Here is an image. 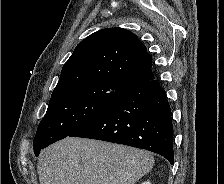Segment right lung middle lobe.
<instances>
[{
	"instance_id": "obj_1",
	"label": "right lung middle lobe",
	"mask_w": 224,
	"mask_h": 184,
	"mask_svg": "<svg viewBox=\"0 0 224 184\" xmlns=\"http://www.w3.org/2000/svg\"><path fill=\"white\" fill-rule=\"evenodd\" d=\"M130 87L110 81H87L71 86L50 99L34 138L36 156L103 113Z\"/></svg>"
}]
</instances>
